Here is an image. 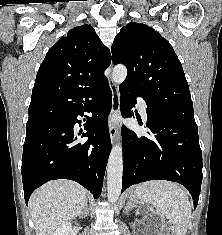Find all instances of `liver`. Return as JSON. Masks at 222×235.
<instances>
[{"label": "liver", "instance_id": "liver-1", "mask_svg": "<svg viewBox=\"0 0 222 235\" xmlns=\"http://www.w3.org/2000/svg\"><path fill=\"white\" fill-rule=\"evenodd\" d=\"M85 202L86 190L70 180H54L38 188L29 200L36 235H51L58 226L75 219Z\"/></svg>", "mask_w": 222, "mask_h": 235}]
</instances>
